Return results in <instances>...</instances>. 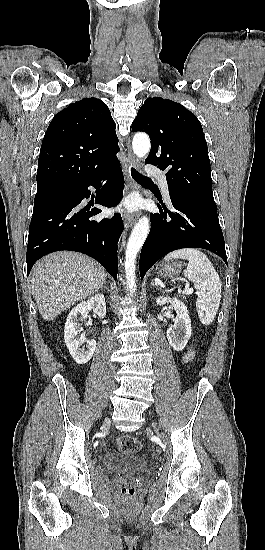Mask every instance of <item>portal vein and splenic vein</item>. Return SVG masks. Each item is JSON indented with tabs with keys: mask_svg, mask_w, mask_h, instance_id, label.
<instances>
[{
	"mask_svg": "<svg viewBox=\"0 0 265 550\" xmlns=\"http://www.w3.org/2000/svg\"><path fill=\"white\" fill-rule=\"evenodd\" d=\"M186 292L190 294V293H192V292H193V290H192V289H187V291H186Z\"/></svg>",
	"mask_w": 265,
	"mask_h": 550,
	"instance_id": "obj_1",
	"label": "portal vein and splenic vein"
}]
</instances>
